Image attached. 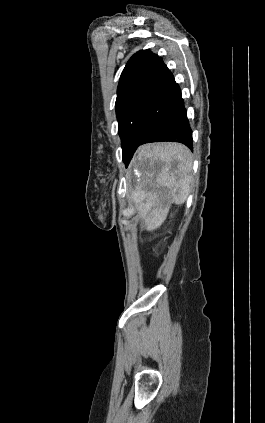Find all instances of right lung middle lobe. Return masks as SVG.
I'll use <instances>...</instances> for the list:
<instances>
[{"label": "right lung middle lobe", "instance_id": "dd1d6c3e", "mask_svg": "<svg viewBox=\"0 0 265 423\" xmlns=\"http://www.w3.org/2000/svg\"><path fill=\"white\" fill-rule=\"evenodd\" d=\"M146 98V94H135L128 96L122 100H119L116 102V115L118 120V126H119V135L122 138L124 136V133L126 129L128 128L129 124L131 123V120L140 107V105L143 103V101ZM123 150V146H122ZM126 153L123 150V160L126 161Z\"/></svg>", "mask_w": 265, "mask_h": 423}]
</instances>
